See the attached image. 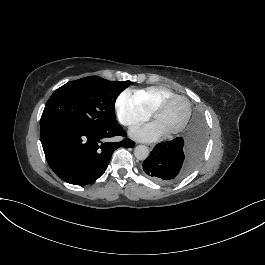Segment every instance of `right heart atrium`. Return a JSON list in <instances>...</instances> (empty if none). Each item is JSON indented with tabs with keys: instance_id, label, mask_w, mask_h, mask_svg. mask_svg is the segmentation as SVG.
<instances>
[{
	"instance_id": "right-heart-atrium-1",
	"label": "right heart atrium",
	"mask_w": 265,
	"mask_h": 265,
	"mask_svg": "<svg viewBox=\"0 0 265 265\" xmlns=\"http://www.w3.org/2000/svg\"><path fill=\"white\" fill-rule=\"evenodd\" d=\"M117 109L122 122L133 128L138 126L151 117V112L135 96L123 93L117 101Z\"/></svg>"
}]
</instances>
